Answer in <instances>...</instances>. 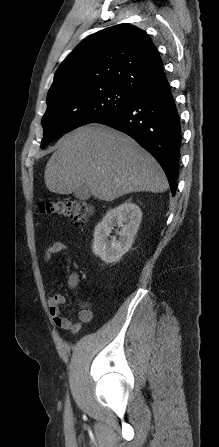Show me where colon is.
I'll use <instances>...</instances> for the list:
<instances>
[{
  "instance_id": "5ec220e1",
  "label": "colon",
  "mask_w": 219,
  "mask_h": 447,
  "mask_svg": "<svg viewBox=\"0 0 219 447\" xmlns=\"http://www.w3.org/2000/svg\"><path fill=\"white\" fill-rule=\"evenodd\" d=\"M39 212L50 217H65L75 225H83L91 214L89 205L78 199L59 198L39 205Z\"/></svg>"
}]
</instances>
